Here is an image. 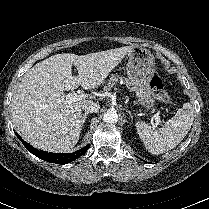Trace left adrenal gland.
I'll return each mask as SVG.
<instances>
[{"label": "left adrenal gland", "mask_w": 209, "mask_h": 209, "mask_svg": "<svg viewBox=\"0 0 209 209\" xmlns=\"http://www.w3.org/2000/svg\"><path fill=\"white\" fill-rule=\"evenodd\" d=\"M126 112H128L129 116L131 117V120H133V115H132L131 111L126 110Z\"/></svg>", "instance_id": "1"}]
</instances>
